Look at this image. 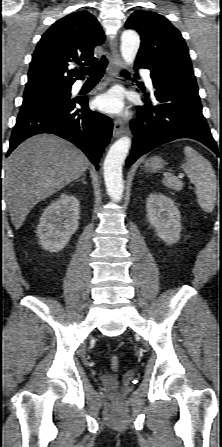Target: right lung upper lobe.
I'll list each match as a JSON object with an SVG mask.
<instances>
[{
  "label": "right lung upper lobe",
  "mask_w": 222,
  "mask_h": 447,
  "mask_svg": "<svg viewBox=\"0 0 222 447\" xmlns=\"http://www.w3.org/2000/svg\"><path fill=\"white\" fill-rule=\"evenodd\" d=\"M105 40L97 19L86 11L56 21L42 36L32 55L24 94L70 89L82 75L70 64L94 65L93 49Z\"/></svg>",
  "instance_id": "cb5924a9"
}]
</instances>
